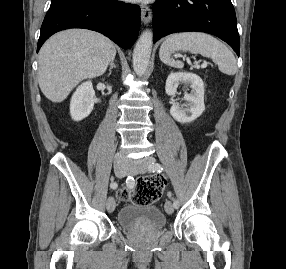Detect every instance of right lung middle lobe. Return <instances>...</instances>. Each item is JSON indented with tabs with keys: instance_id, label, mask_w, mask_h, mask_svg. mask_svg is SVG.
I'll use <instances>...</instances> for the list:
<instances>
[{
	"instance_id": "1",
	"label": "right lung middle lobe",
	"mask_w": 286,
	"mask_h": 269,
	"mask_svg": "<svg viewBox=\"0 0 286 269\" xmlns=\"http://www.w3.org/2000/svg\"><path fill=\"white\" fill-rule=\"evenodd\" d=\"M56 1H58V0H51V3H52V2H56Z\"/></svg>"
}]
</instances>
